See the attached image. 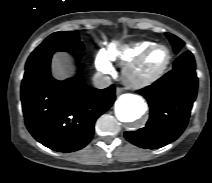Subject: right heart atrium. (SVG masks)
Returning a JSON list of instances; mask_svg holds the SVG:
<instances>
[{
	"label": "right heart atrium",
	"instance_id": "obj_1",
	"mask_svg": "<svg viewBox=\"0 0 212 183\" xmlns=\"http://www.w3.org/2000/svg\"><path fill=\"white\" fill-rule=\"evenodd\" d=\"M96 65L102 73H108L111 71V66L102 52L98 53L96 57Z\"/></svg>",
	"mask_w": 212,
	"mask_h": 183
}]
</instances>
